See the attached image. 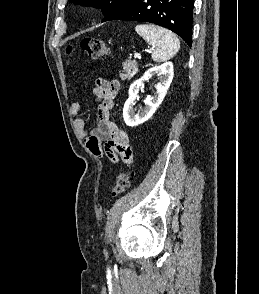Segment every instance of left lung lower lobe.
I'll list each match as a JSON object with an SVG mask.
<instances>
[{
    "instance_id": "0a47b994",
    "label": "left lung lower lobe",
    "mask_w": 259,
    "mask_h": 294,
    "mask_svg": "<svg viewBox=\"0 0 259 294\" xmlns=\"http://www.w3.org/2000/svg\"><path fill=\"white\" fill-rule=\"evenodd\" d=\"M194 0H133L105 21L150 22L170 29L192 45Z\"/></svg>"
}]
</instances>
